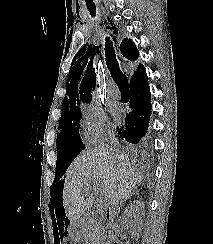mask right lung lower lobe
<instances>
[{"label": "right lung lower lobe", "mask_w": 213, "mask_h": 244, "mask_svg": "<svg viewBox=\"0 0 213 244\" xmlns=\"http://www.w3.org/2000/svg\"><path fill=\"white\" fill-rule=\"evenodd\" d=\"M131 112L125 116V123L117 127V132L126 145L138 156L146 157L151 150V142L146 137L151 115V98L145 68L130 81Z\"/></svg>", "instance_id": "98d812e1"}]
</instances>
